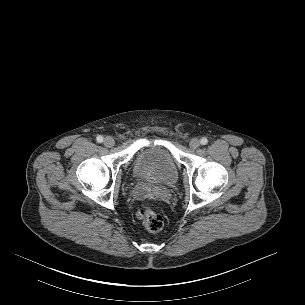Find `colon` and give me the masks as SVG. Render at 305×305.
Masks as SVG:
<instances>
[{
	"mask_svg": "<svg viewBox=\"0 0 305 305\" xmlns=\"http://www.w3.org/2000/svg\"><path fill=\"white\" fill-rule=\"evenodd\" d=\"M137 218L150 232H158L163 227V218L149 206H142L137 211Z\"/></svg>",
	"mask_w": 305,
	"mask_h": 305,
	"instance_id": "obj_1",
	"label": "colon"
}]
</instances>
